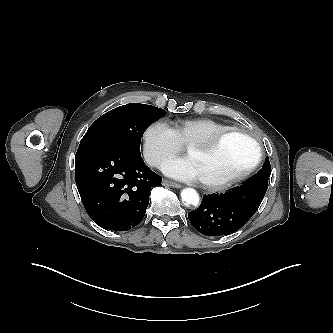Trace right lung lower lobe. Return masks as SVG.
<instances>
[{
	"mask_svg": "<svg viewBox=\"0 0 333 333\" xmlns=\"http://www.w3.org/2000/svg\"><path fill=\"white\" fill-rule=\"evenodd\" d=\"M75 179L90 218L113 231L130 230L142 221L150 189L162 181L140 154L107 144L79 146Z\"/></svg>",
	"mask_w": 333,
	"mask_h": 333,
	"instance_id": "1",
	"label": "right lung lower lobe"
}]
</instances>
